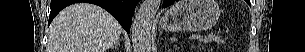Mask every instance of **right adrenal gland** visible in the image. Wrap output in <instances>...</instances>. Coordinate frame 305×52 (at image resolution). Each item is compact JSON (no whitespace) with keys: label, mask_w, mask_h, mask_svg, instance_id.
Wrapping results in <instances>:
<instances>
[{"label":"right adrenal gland","mask_w":305,"mask_h":52,"mask_svg":"<svg viewBox=\"0 0 305 52\" xmlns=\"http://www.w3.org/2000/svg\"><path fill=\"white\" fill-rule=\"evenodd\" d=\"M120 45V43H119V41H117L115 44H113L112 46H111V48L113 49V48H115V49H118V46Z\"/></svg>","instance_id":"obj_1"}]
</instances>
